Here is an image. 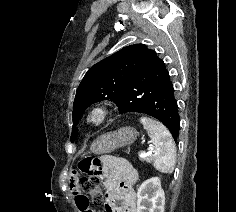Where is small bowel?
Here are the masks:
<instances>
[{
	"label": "small bowel",
	"instance_id": "obj_1",
	"mask_svg": "<svg viewBox=\"0 0 236 212\" xmlns=\"http://www.w3.org/2000/svg\"><path fill=\"white\" fill-rule=\"evenodd\" d=\"M81 170V169H80ZM98 171L108 190L106 212H136V193L133 185L138 174L125 159L104 156L100 158ZM87 174V171L81 170ZM80 172L74 171L71 180V192L80 212H93L87 197L79 190Z\"/></svg>",
	"mask_w": 236,
	"mask_h": 212
}]
</instances>
